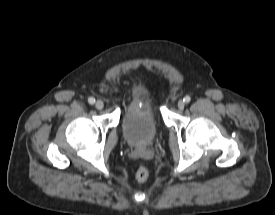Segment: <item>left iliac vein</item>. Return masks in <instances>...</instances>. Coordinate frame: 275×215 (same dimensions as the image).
I'll list each match as a JSON object with an SVG mask.
<instances>
[{
  "label": "left iliac vein",
  "instance_id": "obj_1",
  "mask_svg": "<svg viewBox=\"0 0 275 215\" xmlns=\"http://www.w3.org/2000/svg\"><path fill=\"white\" fill-rule=\"evenodd\" d=\"M177 107L179 110H183L185 107V102L183 100H179L177 103Z\"/></svg>",
  "mask_w": 275,
  "mask_h": 215
}]
</instances>
